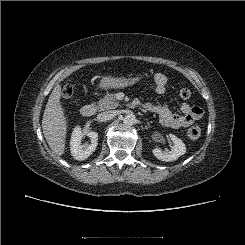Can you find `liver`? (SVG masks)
Masks as SVG:
<instances>
[{"label": "liver", "instance_id": "1", "mask_svg": "<svg viewBox=\"0 0 245 245\" xmlns=\"http://www.w3.org/2000/svg\"><path fill=\"white\" fill-rule=\"evenodd\" d=\"M60 100L61 86L58 84L49 96L42 119L46 141L58 158L64 154L67 133V120Z\"/></svg>", "mask_w": 245, "mask_h": 245}]
</instances>
